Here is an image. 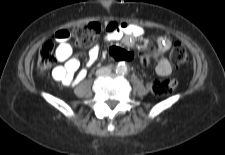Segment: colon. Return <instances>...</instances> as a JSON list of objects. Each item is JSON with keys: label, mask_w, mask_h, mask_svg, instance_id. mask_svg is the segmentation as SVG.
Instances as JSON below:
<instances>
[{"label": "colon", "mask_w": 225, "mask_h": 155, "mask_svg": "<svg viewBox=\"0 0 225 155\" xmlns=\"http://www.w3.org/2000/svg\"><path fill=\"white\" fill-rule=\"evenodd\" d=\"M102 27L97 22H90L74 27L71 31L72 38L80 47H87L92 44L95 37L100 34ZM155 52L153 43L146 42L138 52L139 65L143 69H148L152 65L151 56ZM107 54L114 60H124L131 62L135 58V53L131 49L122 50L116 45H111L107 49ZM171 59L176 66H180L188 61V53L185 47L176 42L171 50ZM56 62L55 45L53 41H46L39 49L37 59V70L44 74ZM177 85L176 79H159L150 84L152 92L158 96L170 94Z\"/></svg>", "instance_id": "colon-1"}]
</instances>
